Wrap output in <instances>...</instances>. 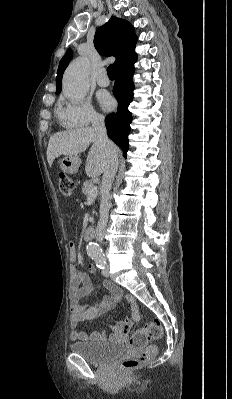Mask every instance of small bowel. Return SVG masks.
<instances>
[{"label": "small bowel", "mask_w": 232, "mask_h": 399, "mask_svg": "<svg viewBox=\"0 0 232 399\" xmlns=\"http://www.w3.org/2000/svg\"><path fill=\"white\" fill-rule=\"evenodd\" d=\"M77 257V247L75 242L69 243V259L71 265L69 267V339L73 342H78L84 344L88 341L86 334L79 330L80 323L87 319H92L99 316L101 313L105 312L107 309L113 307L123 296V293L116 289L114 285L108 280L104 279L102 281L103 287L111 291L113 297H103L101 301L88 305L80 303V300L84 293H91V290H82L81 283H89L92 277L99 274V270L96 267H92L89 273L78 269L73 262ZM126 301L130 304L133 311V319L139 321L141 318L140 309L137 305L134 295L127 294L125 296ZM111 332L107 335L108 338H117L122 333L129 332L132 329L131 322L127 321L124 323H112L110 325ZM106 337L105 334L93 331L91 333V339L93 341H99L101 338Z\"/></svg>", "instance_id": "obj_1"}]
</instances>
